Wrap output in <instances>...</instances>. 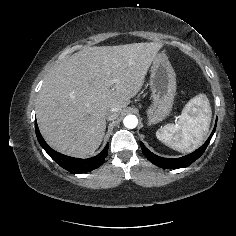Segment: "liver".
Segmentation results:
<instances>
[{
	"mask_svg": "<svg viewBox=\"0 0 236 236\" xmlns=\"http://www.w3.org/2000/svg\"><path fill=\"white\" fill-rule=\"evenodd\" d=\"M163 47L145 42L87 47L60 62L47 76L37 100V122L56 151L87 157L102 143L107 112L117 115L144 84Z\"/></svg>",
	"mask_w": 236,
	"mask_h": 236,
	"instance_id": "6515ba94",
	"label": "liver"
}]
</instances>
